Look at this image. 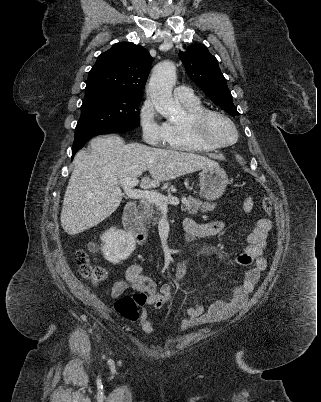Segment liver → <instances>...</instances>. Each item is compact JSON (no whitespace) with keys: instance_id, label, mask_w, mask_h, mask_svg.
Returning a JSON list of instances; mask_svg holds the SVG:
<instances>
[{"instance_id":"6515ba94","label":"liver","mask_w":321,"mask_h":402,"mask_svg":"<svg viewBox=\"0 0 321 402\" xmlns=\"http://www.w3.org/2000/svg\"><path fill=\"white\" fill-rule=\"evenodd\" d=\"M90 147L89 154L82 150L75 156L64 196L61 224L69 235L98 225L117 210L123 196L118 184L121 179L137 178L149 171L152 179L143 177L140 186L154 188L160 182L219 166L195 153L125 144L118 135L95 137Z\"/></svg>"}]
</instances>
